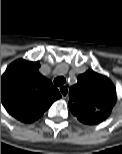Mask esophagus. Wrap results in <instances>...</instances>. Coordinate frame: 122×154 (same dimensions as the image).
<instances>
[{"label": "esophagus", "instance_id": "34e87169", "mask_svg": "<svg viewBox=\"0 0 122 154\" xmlns=\"http://www.w3.org/2000/svg\"><path fill=\"white\" fill-rule=\"evenodd\" d=\"M59 92L61 93L63 98H66L68 96L69 89L67 86H61L59 87Z\"/></svg>", "mask_w": 122, "mask_h": 154}]
</instances>
